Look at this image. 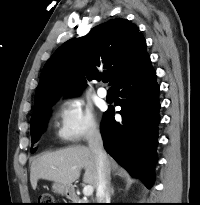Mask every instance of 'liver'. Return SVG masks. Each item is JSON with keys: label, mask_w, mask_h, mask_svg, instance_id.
Masks as SVG:
<instances>
[{"label": "liver", "mask_w": 200, "mask_h": 205, "mask_svg": "<svg viewBox=\"0 0 200 205\" xmlns=\"http://www.w3.org/2000/svg\"><path fill=\"white\" fill-rule=\"evenodd\" d=\"M108 158L109 168L117 169V164ZM85 169L83 182L93 187L98 184L96 157L92 150L85 146H74L55 152L45 153L33 160L30 168V182L35 189L39 179L54 181L71 186Z\"/></svg>", "instance_id": "obj_1"}]
</instances>
